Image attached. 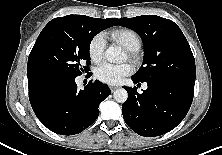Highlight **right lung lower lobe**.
Here are the masks:
<instances>
[{
  "mask_svg": "<svg viewBox=\"0 0 222 155\" xmlns=\"http://www.w3.org/2000/svg\"><path fill=\"white\" fill-rule=\"evenodd\" d=\"M50 87L46 97L30 98V103L43 125L61 135H75L89 127L99 115V104L111 94L99 81L78 90L75 78L57 80Z\"/></svg>",
  "mask_w": 222,
  "mask_h": 155,
  "instance_id": "obj_1",
  "label": "right lung lower lobe"
}]
</instances>
